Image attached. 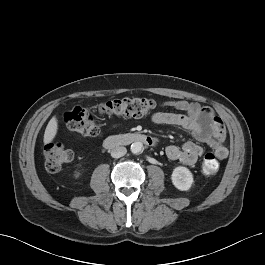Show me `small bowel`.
<instances>
[{
	"mask_svg": "<svg viewBox=\"0 0 265 265\" xmlns=\"http://www.w3.org/2000/svg\"><path fill=\"white\" fill-rule=\"evenodd\" d=\"M162 106L181 113L157 112L152 117L154 123L182 128L196 141L209 145L218 158L225 159L228 156V150L222 144L225 137L224 125L211 109L186 100H168L163 102ZM202 152V147L192 141L184 143L181 147L170 145L166 148L169 159L180 161L185 165L195 164Z\"/></svg>",
	"mask_w": 265,
	"mask_h": 265,
	"instance_id": "1",
	"label": "small bowel"
}]
</instances>
